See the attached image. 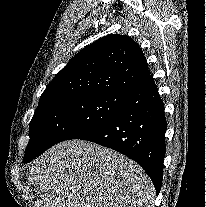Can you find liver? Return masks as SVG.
<instances>
[{"label": "liver", "instance_id": "1", "mask_svg": "<svg viewBox=\"0 0 206 207\" xmlns=\"http://www.w3.org/2000/svg\"><path fill=\"white\" fill-rule=\"evenodd\" d=\"M28 184L40 207H152L155 190L126 156L83 140L56 144L35 159Z\"/></svg>", "mask_w": 206, "mask_h": 207}]
</instances>
